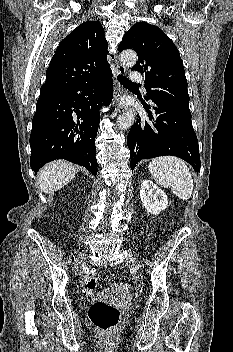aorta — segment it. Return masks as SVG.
Masks as SVG:
<instances>
[{
    "label": "aorta",
    "mask_w": 233,
    "mask_h": 352,
    "mask_svg": "<svg viewBox=\"0 0 233 352\" xmlns=\"http://www.w3.org/2000/svg\"><path fill=\"white\" fill-rule=\"evenodd\" d=\"M137 54L134 51L128 50L121 53L120 60L126 66H133L137 62ZM135 122V114L133 112H125L117 119L119 129H128Z\"/></svg>",
    "instance_id": "obj_1"
}]
</instances>
